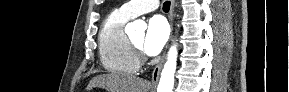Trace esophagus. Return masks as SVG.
<instances>
[{
  "label": "esophagus",
  "instance_id": "esophagus-1",
  "mask_svg": "<svg viewBox=\"0 0 289 92\" xmlns=\"http://www.w3.org/2000/svg\"><path fill=\"white\" fill-rule=\"evenodd\" d=\"M174 5L175 2L174 0H171V7H170V12H169V22L171 25V28H173V20H174ZM168 45L166 46L167 49ZM165 60V53L163 55V57L161 58L160 62L156 65V67L154 68L153 72H152V85L153 87H156L158 84V80H159V76H160V72L163 66Z\"/></svg>",
  "mask_w": 289,
  "mask_h": 92
}]
</instances>
